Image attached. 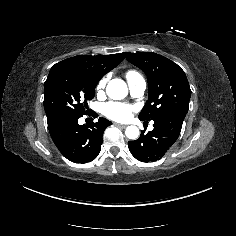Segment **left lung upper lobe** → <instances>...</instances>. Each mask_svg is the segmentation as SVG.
<instances>
[{
  "mask_svg": "<svg viewBox=\"0 0 236 236\" xmlns=\"http://www.w3.org/2000/svg\"><path fill=\"white\" fill-rule=\"evenodd\" d=\"M126 59L143 70L149 85L148 100L139 114L142 121L171 112L187 113L191 96L187 77L180 66L152 52L125 53Z\"/></svg>",
  "mask_w": 236,
  "mask_h": 236,
  "instance_id": "obj_1",
  "label": "left lung upper lobe"
}]
</instances>
